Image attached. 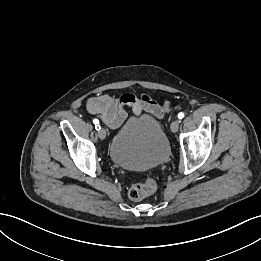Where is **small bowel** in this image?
Masks as SVG:
<instances>
[{
    "mask_svg": "<svg viewBox=\"0 0 261 261\" xmlns=\"http://www.w3.org/2000/svg\"><path fill=\"white\" fill-rule=\"evenodd\" d=\"M171 102L165 100L157 103L146 94L139 96L125 93L120 96L101 94L88 99L86 109L90 114L97 115L111 129H117L127 119V108H131L136 116L147 111L156 118H162L170 109Z\"/></svg>",
    "mask_w": 261,
    "mask_h": 261,
    "instance_id": "c3829d8e",
    "label": "small bowel"
}]
</instances>
